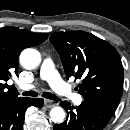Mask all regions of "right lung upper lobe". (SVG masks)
Masks as SVG:
<instances>
[{
    "label": "right lung upper lobe",
    "instance_id": "1",
    "mask_svg": "<svg viewBox=\"0 0 130 130\" xmlns=\"http://www.w3.org/2000/svg\"><path fill=\"white\" fill-rule=\"evenodd\" d=\"M48 38L45 33H33L17 27L0 28V101L18 98L14 85L6 82L18 75V57L27 48L39 45Z\"/></svg>",
    "mask_w": 130,
    "mask_h": 130
}]
</instances>
